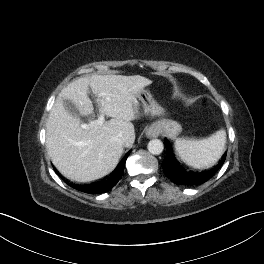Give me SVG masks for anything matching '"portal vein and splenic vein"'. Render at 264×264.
Masks as SVG:
<instances>
[{"mask_svg":"<svg viewBox=\"0 0 264 264\" xmlns=\"http://www.w3.org/2000/svg\"><path fill=\"white\" fill-rule=\"evenodd\" d=\"M103 93H101L99 96H102ZM104 114L101 113L98 117L97 120L91 121L89 124H82L81 127L83 129H89L90 127L97 126V125H102L104 123Z\"/></svg>","mask_w":264,"mask_h":264,"instance_id":"portal-vein-and-splenic-vein-1","label":"portal vein and splenic vein"}]
</instances>
